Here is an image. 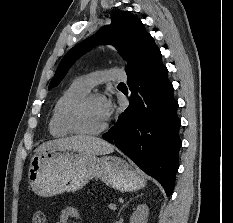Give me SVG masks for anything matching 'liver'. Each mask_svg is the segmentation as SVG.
<instances>
[{"instance_id": "obj_1", "label": "liver", "mask_w": 233, "mask_h": 223, "mask_svg": "<svg viewBox=\"0 0 233 223\" xmlns=\"http://www.w3.org/2000/svg\"><path fill=\"white\" fill-rule=\"evenodd\" d=\"M50 145H58V147H65L70 151H79V153H91V155H106L112 153L115 145H111L101 137H94V135H72V137H59V139H52L42 143L41 147H50ZM36 149V151H38Z\"/></svg>"}]
</instances>
